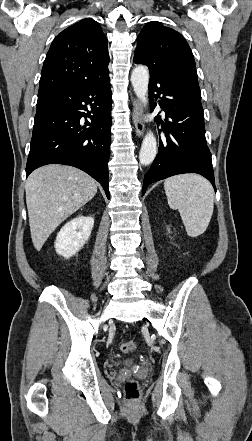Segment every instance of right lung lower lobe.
Masks as SVG:
<instances>
[{"label":"right lung lower lobe","instance_id":"right-lung-lower-lobe-1","mask_svg":"<svg viewBox=\"0 0 252 441\" xmlns=\"http://www.w3.org/2000/svg\"><path fill=\"white\" fill-rule=\"evenodd\" d=\"M111 108L110 82L38 97L26 176L47 164L71 165L96 179L109 198Z\"/></svg>","mask_w":252,"mask_h":441}]
</instances>
